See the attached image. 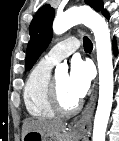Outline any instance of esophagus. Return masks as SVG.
<instances>
[{
	"instance_id": "esophagus-1",
	"label": "esophagus",
	"mask_w": 119,
	"mask_h": 141,
	"mask_svg": "<svg viewBox=\"0 0 119 141\" xmlns=\"http://www.w3.org/2000/svg\"><path fill=\"white\" fill-rule=\"evenodd\" d=\"M94 54V52H93ZM95 106V99L92 97L88 104L86 105L85 109L81 113V115L74 120L73 122V129L81 132L82 134H88L91 130L92 125V115Z\"/></svg>"
}]
</instances>
